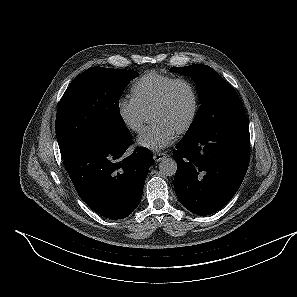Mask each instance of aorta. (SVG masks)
I'll return each instance as SVG.
<instances>
[{
	"mask_svg": "<svg viewBox=\"0 0 297 297\" xmlns=\"http://www.w3.org/2000/svg\"><path fill=\"white\" fill-rule=\"evenodd\" d=\"M159 170L164 176H173L177 170V163L172 158H162L159 163Z\"/></svg>",
	"mask_w": 297,
	"mask_h": 297,
	"instance_id": "762f6f07",
	"label": "aorta"
}]
</instances>
